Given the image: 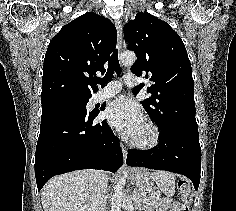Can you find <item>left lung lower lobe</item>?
I'll use <instances>...</instances> for the list:
<instances>
[{
	"mask_svg": "<svg viewBox=\"0 0 236 211\" xmlns=\"http://www.w3.org/2000/svg\"><path fill=\"white\" fill-rule=\"evenodd\" d=\"M126 163L129 166L167 170L185 175L197 190L201 170L198 130H161L156 148L146 151L129 149Z\"/></svg>",
	"mask_w": 236,
	"mask_h": 211,
	"instance_id": "1",
	"label": "left lung lower lobe"
}]
</instances>
